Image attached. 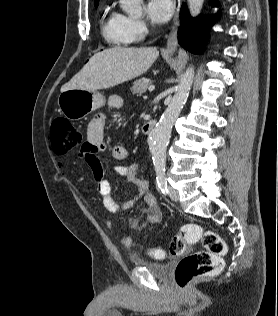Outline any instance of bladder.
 Here are the masks:
<instances>
[{"label": "bladder", "mask_w": 278, "mask_h": 316, "mask_svg": "<svg viewBox=\"0 0 278 316\" xmlns=\"http://www.w3.org/2000/svg\"><path fill=\"white\" fill-rule=\"evenodd\" d=\"M132 263L138 267L146 269L153 276L160 279L168 278L173 270L172 262L160 263L140 258H132Z\"/></svg>", "instance_id": "31cf9c89"}]
</instances>
